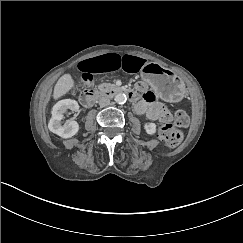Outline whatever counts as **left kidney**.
<instances>
[{
    "mask_svg": "<svg viewBox=\"0 0 243 243\" xmlns=\"http://www.w3.org/2000/svg\"><path fill=\"white\" fill-rule=\"evenodd\" d=\"M157 125L153 122H146L144 124V130L148 135H154L156 133Z\"/></svg>",
    "mask_w": 243,
    "mask_h": 243,
    "instance_id": "5707ae66",
    "label": "left kidney"
}]
</instances>
